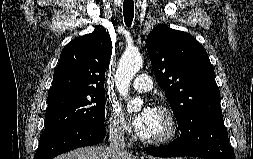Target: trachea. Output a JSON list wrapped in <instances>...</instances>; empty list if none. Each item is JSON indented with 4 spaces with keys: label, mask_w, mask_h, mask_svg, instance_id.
Wrapping results in <instances>:
<instances>
[{
    "label": "trachea",
    "mask_w": 253,
    "mask_h": 159,
    "mask_svg": "<svg viewBox=\"0 0 253 159\" xmlns=\"http://www.w3.org/2000/svg\"><path fill=\"white\" fill-rule=\"evenodd\" d=\"M123 15L126 26L131 27L134 17V2L132 0H124Z\"/></svg>",
    "instance_id": "3493384b"
}]
</instances>
